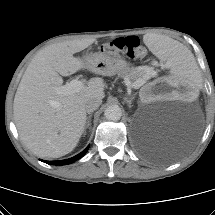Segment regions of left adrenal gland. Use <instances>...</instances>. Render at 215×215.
<instances>
[{
    "label": "left adrenal gland",
    "instance_id": "1",
    "mask_svg": "<svg viewBox=\"0 0 215 215\" xmlns=\"http://www.w3.org/2000/svg\"><path fill=\"white\" fill-rule=\"evenodd\" d=\"M133 99H134V96H133V97H130V98L124 97V101L128 104V107H129V108L132 107L131 104H132Z\"/></svg>",
    "mask_w": 215,
    "mask_h": 215
}]
</instances>
